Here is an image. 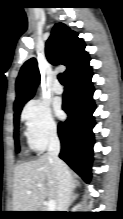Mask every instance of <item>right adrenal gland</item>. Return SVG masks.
I'll use <instances>...</instances> for the list:
<instances>
[{"instance_id":"1","label":"right adrenal gland","mask_w":123,"mask_h":219,"mask_svg":"<svg viewBox=\"0 0 123 219\" xmlns=\"http://www.w3.org/2000/svg\"><path fill=\"white\" fill-rule=\"evenodd\" d=\"M79 186L78 183H72V192H71V201L70 204L76 199L78 198L79 194L75 193V189Z\"/></svg>"}]
</instances>
